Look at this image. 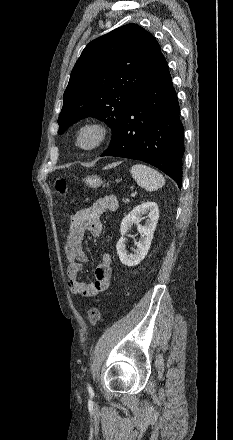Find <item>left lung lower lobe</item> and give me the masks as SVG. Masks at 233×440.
<instances>
[{
  "mask_svg": "<svg viewBox=\"0 0 233 440\" xmlns=\"http://www.w3.org/2000/svg\"><path fill=\"white\" fill-rule=\"evenodd\" d=\"M163 54L131 100L120 130L101 156L149 163L182 185L184 127Z\"/></svg>",
  "mask_w": 233,
  "mask_h": 440,
  "instance_id": "obj_1",
  "label": "left lung lower lobe"
}]
</instances>
